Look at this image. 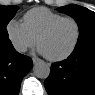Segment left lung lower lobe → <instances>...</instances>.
<instances>
[{
	"mask_svg": "<svg viewBox=\"0 0 95 95\" xmlns=\"http://www.w3.org/2000/svg\"><path fill=\"white\" fill-rule=\"evenodd\" d=\"M44 84L49 95H95V40L52 64Z\"/></svg>",
	"mask_w": 95,
	"mask_h": 95,
	"instance_id": "1",
	"label": "left lung lower lobe"
}]
</instances>
